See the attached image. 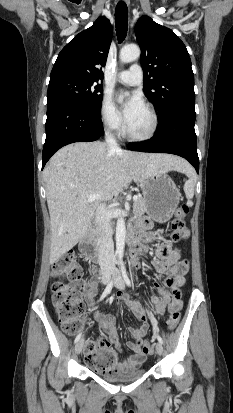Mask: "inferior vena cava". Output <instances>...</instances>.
<instances>
[{"label":"inferior vena cava","mask_w":233,"mask_h":413,"mask_svg":"<svg viewBox=\"0 0 233 413\" xmlns=\"http://www.w3.org/2000/svg\"><path fill=\"white\" fill-rule=\"evenodd\" d=\"M106 143L111 149L118 150L119 146L115 138L105 133ZM111 216L105 204H100L96 209V223L99 230L100 240L98 249L99 265L102 274H110L115 268L114 244L110 226Z\"/></svg>","instance_id":"inferior-vena-cava-1"}]
</instances>
